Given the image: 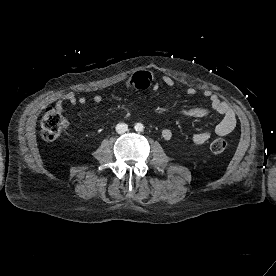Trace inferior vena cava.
<instances>
[{
  "label": "inferior vena cava",
  "instance_id": "inferior-vena-cava-1",
  "mask_svg": "<svg viewBox=\"0 0 276 276\" xmlns=\"http://www.w3.org/2000/svg\"><path fill=\"white\" fill-rule=\"evenodd\" d=\"M128 130V126L125 123H119L116 125V132L119 134H123Z\"/></svg>",
  "mask_w": 276,
  "mask_h": 276
}]
</instances>
